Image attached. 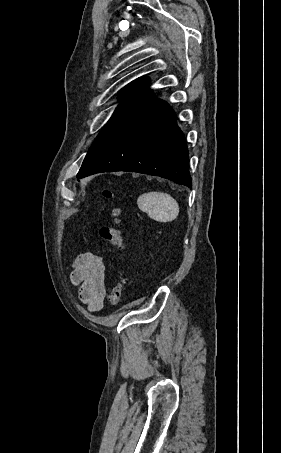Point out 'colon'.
<instances>
[{"label":"colon","mask_w":281,"mask_h":453,"mask_svg":"<svg viewBox=\"0 0 281 453\" xmlns=\"http://www.w3.org/2000/svg\"><path fill=\"white\" fill-rule=\"evenodd\" d=\"M119 188L116 184L108 186L103 189V194L107 197L114 199L117 195ZM124 220L122 215L121 203L119 200H115L112 223L108 226L100 228L101 237L106 240L109 245L117 250H121L124 247V239L121 233V227L123 226ZM124 297V287L120 282H115L110 288L109 296L106 301L107 307H112L119 304Z\"/></svg>","instance_id":"1"}]
</instances>
